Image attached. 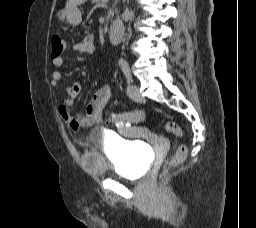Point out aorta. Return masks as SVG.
<instances>
[{
  "label": "aorta",
  "mask_w": 256,
  "mask_h": 228,
  "mask_svg": "<svg viewBox=\"0 0 256 228\" xmlns=\"http://www.w3.org/2000/svg\"><path fill=\"white\" fill-rule=\"evenodd\" d=\"M119 63H123V60L121 59V60H119Z\"/></svg>",
  "instance_id": "aorta-1"
}]
</instances>
